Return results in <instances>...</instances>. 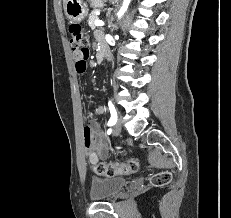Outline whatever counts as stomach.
I'll return each instance as SVG.
<instances>
[{
  "label": "stomach",
  "mask_w": 231,
  "mask_h": 218,
  "mask_svg": "<svg viewBox=\"0 0 231 218\" xmlns=\"http://www.w3.org/2000/svg\"><path fill=\"white\" fill-rule=\"evenodd\" d=\"M91 7L100 8L105 0H88ZM67 19L73 22H81L88 13L87 3L84 0H68L65 6Z\"/></svg>",
  "instance_id": "1"
}]
</instances>
